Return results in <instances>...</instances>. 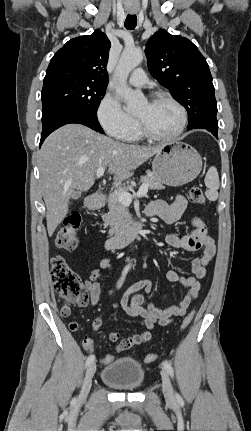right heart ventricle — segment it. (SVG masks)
I'll return each mask as SVG.
<instances>
[{"mask_svg":"<svg viewBox=\"0 0 251 431\" xmlns=\"http://www.w3.org/2000/svg\"><path fill=\"white\" fill-rule=\"evenodd\" d=\"M140 138H141V134H140V132H139L137 126H136L135 129L132 131V133L127 138H125V140H128V141H137Z\"/></svg>","mask_w":251,"mask_h":431,"instance_id":"obj_1","label":"right heart ventricle"}]
</instances>
